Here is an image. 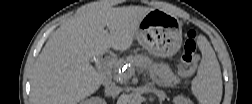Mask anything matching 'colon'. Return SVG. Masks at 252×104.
Listing matches in <instances>:
<instances>
[{
  "label": "colon",
  "instance_id": "1",
  "mask_svg": "<svg viewBox=\"0 0 252 104\" xmlns=\"http://www.w3.org/2000/svg\"><path fill=\"white\" fill-rule=\"evenodd\" d=\"M197 34L194 30H188L185 34V42L183 46L182 62L185 67H191L196 62V43Z\"/></svg>",
  "mask_w": 252,
  "mask_h": 104
}]
</instances>
